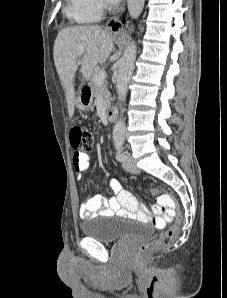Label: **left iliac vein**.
<instances>
[{
    "instance_id": "1",
    "label": "left iliac vein",
    "mask_w": 227,
    "mask_h": 298,
    "mask_svg": "<svg viewBox=\"0 0 227 298\" xmlns=\"http://www.w3.org/2000/svg\"><path fill=\"white\" fill-rule=\"evenodd\" d=\"M123 168L130 173H138L140 171L133 162V158L130 154H128L127 158L123 161Z\"/></svg>"
}]
</instances>
